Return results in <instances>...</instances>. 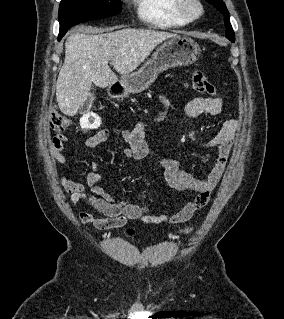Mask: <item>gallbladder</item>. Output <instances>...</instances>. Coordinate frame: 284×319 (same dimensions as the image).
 Listing matches in <instances>:
<instances>
[{
	"label": "gallbladder",
	"mask_w": 284,
	"mask_h": 319,
	"mask_svg": "<svg viewBox=\"0 0 284 319\" xmlns=\"http://www.w3.org/2000/svg\"><path fill=\"white\" fill-rule=\"evenodd\" d=\"M94 101V95H89L88 98L86 99V101L83 103V107L88 109Z\"/></svg>",
	"instance_id": "gallbladder-1"
}]
</instances>
